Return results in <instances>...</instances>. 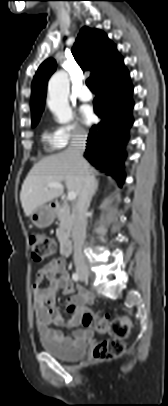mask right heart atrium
<instances>
[{
    "label": "right heart atrium",
    "instance_id": "right-heart-atrium-1",
    "mask_svg": "<svg viewBox=\"0 0 168 406\" xmlns=\"http://www.w3.org/2000/svg\"><path fill=\"white\" fill-rule=\"evenodd\" d=\"M55 135L60 145L65 147L70 143L85 140L88 134L84 127L72 122L58 126Z\"/></svg>",
    "mask_w": 168,
    "mask_h": 406
}]
</instances>
